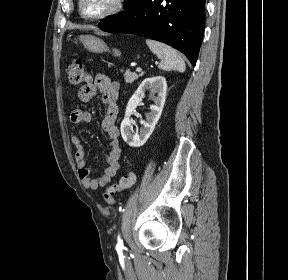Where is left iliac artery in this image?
Returning <instances> with one entry per match:
<instances>
[{
  "instance_id": "obj_1",
  "label": "left iliac artery",
  "mask_w": 288,
  "mask_h": 280,
  "mask_svg": "<svg viewBox=\"0 0 288 280\" xmlns=\"http://www.w3.org/2000/svg\"><path fill=\"white\" fill-rule=\"evenodd\" d=\"M116 250L117 251L123 250V240L121 239L120 235H118V238H117Z\"/></svg>"
}]
</instances>
